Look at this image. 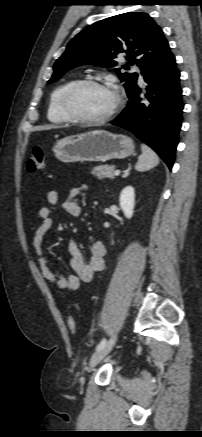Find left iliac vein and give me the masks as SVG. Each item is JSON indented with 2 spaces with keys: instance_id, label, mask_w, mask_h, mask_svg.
Returning a JSON list of instances; mask_svg holds the SVG:
<instances>
[{
  "instance_id": "obj_1",
  "label": "left iliac vein",
  "mask_w": 202,
  "mask_h": 437,
  "mask_svg": "<svg viewBox=\"0 0 202 437\" xmlns=\"http://www.w3.org/2000/svg\"><path fill=\"white\" fill-rule=\"evenodd\" d=\"M116 336L110 338L109 341L106 342L105 346L99 350H97L90 358L89 369L94 368L105 356H107L116 343Z\"/></svg>"
}]
</instances>
